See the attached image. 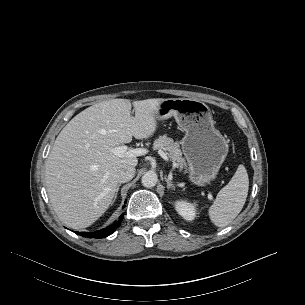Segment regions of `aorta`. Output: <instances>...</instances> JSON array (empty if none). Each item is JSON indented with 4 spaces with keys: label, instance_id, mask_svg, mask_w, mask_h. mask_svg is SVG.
<instances>
[{
    "label": "aorta",
    "instance_id": "762f6f07",
    "mask_svg": "<svg viewBox=\"0 0 305 305\" xmlns=\"http://www.w3.org/2000/svg\"><path fill=\"white\" fill-rule=\"evenodd\" d=\"M158 181L157 174L153 171H148L142 176L141 182L144 187L151 188L156 185Z\"/></svg>",
    "mask_w": 305,
    "mask_h": 305
}]
</instances>
